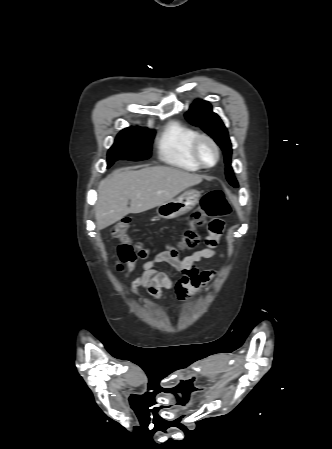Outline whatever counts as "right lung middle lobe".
<instances>
[{
	"mask_svg": "<svg viewBox=\"0 0 332 449\" xmlns=\"http://www.w3.org/2000/svg\"><path fill=\"white\" fill-rule=\"evenodd\" d=\"M154 131L142 127H129L122 130L108 151L107 167L117 160L140 161L151 155Z\"/></svg>",
	"mask_w": 332,
	"mask_h": 449,
	"instance_id": "right-lung-middle-lobe-1",
	"label": "right lung middle lobe"
}]
</instances>
